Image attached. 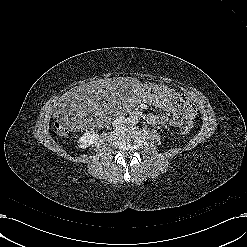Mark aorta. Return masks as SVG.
Here are the masks:
<instances>
[{
    "instance_id": "aorta-1",
    "label": "aorta",
    "mask_w": 247,
    "mask_h": 247,
    "mask_svg": "<svg viewBox=\"0 0 247 247\" xmlns=\"http://www.w3.org/2000/svg\"><path fill=\"white\" fill-rule=\"evenodd\" d=\"M128 121H129L130 123H132V124H136V123H138V118H137V116H130V117L128 118Z\"/></svg>"
}]
</instances>
